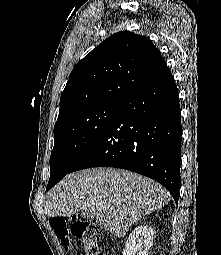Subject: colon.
<instances>
[{
	"label": "colon",
	"instance_id": "obj_1",
	"mask_svg": "<svg viewBox=\"0 0 221 255\" xmlns=\"http://www.w3.org/2000/svg\"><path fill=\"white\" fill-rule=\"evenodd\" d=\"M50 223L66 251L73 249L71 235H74L82 241L85 255H103L100 248V228L96 220L74 216L69 226L64 217L54 216Z\"/></svg>",
	"mask_w": 221,
	"mask_h": 255
}]
</instances>
